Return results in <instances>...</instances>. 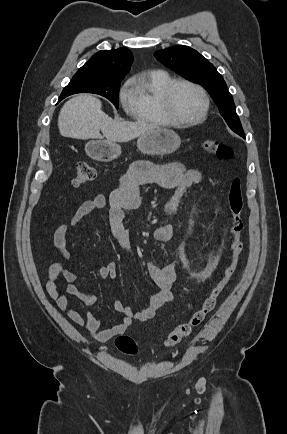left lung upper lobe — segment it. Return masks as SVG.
<instances>
[{
    "label": "left lung upper lobe",
    "mask_w": 287,
    "mask_h": 434,
    "mask_svg": "<svg viewBox=\"0 0 287 434\" xmlns=\"http://www.w3.org/2000/svg\"><path fill=\"white\" fill-rule=\"evenodd\" d=\"M154 56L180 76L202 85L215 101L228 126L235 133L244 136L233 98L213 64L196 50L184 45L156 51Z\"/></svg>",
    "instance_id": "obj_1"
}]
</instances>
